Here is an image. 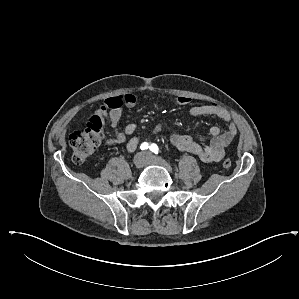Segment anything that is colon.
<instances>
[{
  "instance_id": "colon-1",
  "label": "colon",
  "mask_w": 299,
  "mask_h": 299,
  "mask_svg": "<svg viewBox=\"0 0 299 299\" xmlns=\"http://www.w3.org/2000/svg\"><path fill=\"white\" fill-rule=\"evenodd\" d=\"M104 140V122L99 116H92L86 126L82 130H76L69 136V145L72 151V160L81 164L88 160L90 155ZM232 161L225 159L223 161L224 168H230Z\"/></svg>"
}]
</instances>
